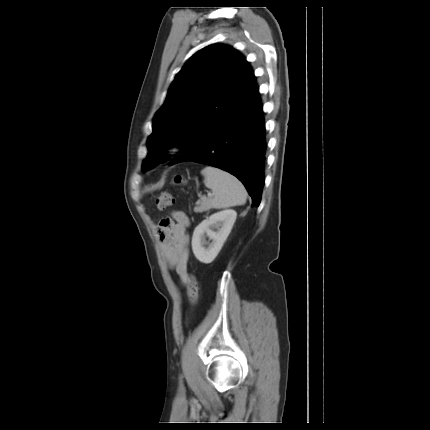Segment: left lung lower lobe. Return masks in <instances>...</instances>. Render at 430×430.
<instances>
[{"label":"left lung lower lobe","instance_id":"obj_1","mask_svg":"<svg viewBox=\"0 0 430 430\" xmlns=\"http://www.w3.org/2000/svg\"><path fill=\"white\" fill-rule=\"evenodd\" d=\"M266 152L265 124L259 90L226 118L211 119L194 134L185 152L171 164L193 161L223 169L237 177L261 201Z\"/></svg>","mask_w":430,"mask_h":430}]
</instances>
